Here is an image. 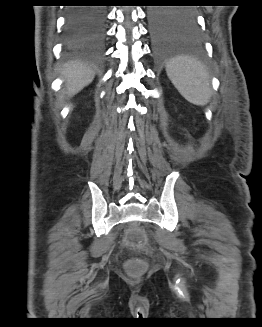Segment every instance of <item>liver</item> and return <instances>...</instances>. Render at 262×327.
Here are the masks:
<instances>
[{"mask_svg": "<svg viewBox=\"0 0 262 327\" xmlns=\"http://www.w3.org/2000/svg\"><path fill=\"white\" fill-rule=\"evenodd\" d=\"M62 75L65 78L66 93L73 96L90 84L94 78L91 68L79 63L70 62L64 66Z\"/></svg>", "mask_w": 262, "mask_h": 327, "instance_id": "obj_1", "label": "liver"}]
</instances>
